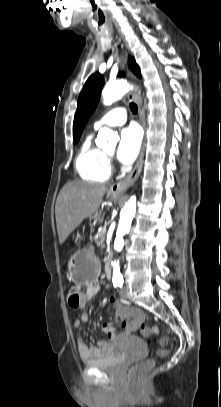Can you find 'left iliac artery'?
I'll use <instances>...</instances> for the list:
<instances>
[{"label": "left iliac artery", "mask_w": 221, "mask_h": 407, "mask_svg": "<svg viewBox=\"0 0 221 407\" xmlns=\"http://www.w3.org/2000/svg\"><path fill=\"white\" fill-rule=\"evenodd\" d=\"M117 283V285L119 286V287H122V285H123V279L121 278V279H118V281L116 282Z\"/></svg>", "instance_id": "obj_1"}]
</instances>
